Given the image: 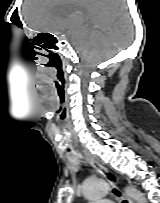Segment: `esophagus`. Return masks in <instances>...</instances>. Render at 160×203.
Returning a JSON list of instances; mask_svg holds the SVG:
<instances>
[{"label": "esophagus", "mask_w": 160, "mask_h": 203, "mask_svg": "<svg viewBox=\"0 0 160 203\" xmlns=\"http://www.w3.org/2000/svg\"><path fill=\"white\" fill-rule=\"evenodd\" d=\"M84 156L85 158L90 162V164L97 169L105 178L106 180L109 182L110 186H111V192L117 196L120 197L123 202L126 201L127 203H133L130 198L124 196L122 194V191L119 188V178L113 174L112 172H110L107 168H105L97 159H95L92 155L84 152ZM122 202V203H123Z\"/></svg>", "instance_id": "1"}]
</instances>
